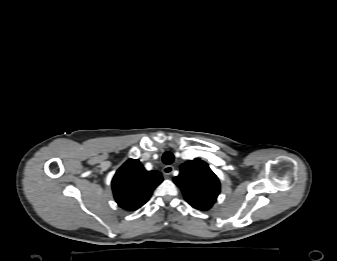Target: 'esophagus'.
Returning <instances> with one entry per match:
<instances>
[{
  "instance_id": "34e87169",
  "label": "esophagus",
  "mask_w": 337,
  "mask_h": 261,
  "mask_svg": "<svg viewBox=\"0 0 337 261\" xmlns=\"http://www.w3.org/2000/svg\"><path fill=\"white\" fill-rule=\"evenodd\" d=\"M173 170H174L173 166L167 165L162 169V172L166 177H168L172 174Z\"/></svg>"
}]
</instances>
